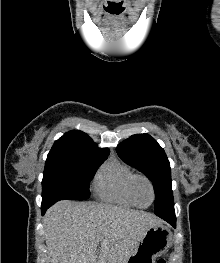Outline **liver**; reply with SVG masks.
Segmentation results:
<instances>
[{"label":"liver","instance_id":"6515ba94","mask_svg":"<svg viewBox=\"0 0 220 263\" xmlns=\"http://www.w3.org/2000/svg\"><path fill=\"white\" fill-rule=\"evenodd\" d=\"M155 215L110 204L62 200L45 214L50 263H126ZM100 251L98 254V245Z\"/></svg>","mask_w":220,"mask_h":263}]
</instances>
